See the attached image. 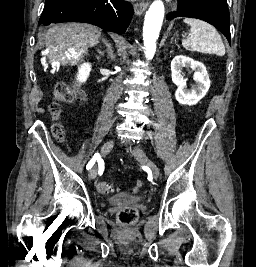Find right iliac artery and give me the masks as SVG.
<instances>
[{
  "label": "right iliac artery",
  "instance_id": "82829eb1",
  "mask_svg": "<svg viewBox=\"0 0 256 267\" xmlns=\"http://www.w3.org/2000/svg\"><path fill=\"white\" fill-rule=\"evenodd\" d=\"M100 154L99 153H95L93 158L89 161V163L87 164L86 168L89 170L91 169V167L94 165L95 161L100 159Z\"/></svg>",
  "mask_w": 256,
  "mask_h": 267
}]
</instances>
